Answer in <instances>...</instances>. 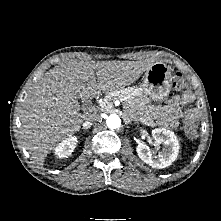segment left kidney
Returning <instances> with one entry per match:
<instances>
[{
	"label": "left kidney",
	"mask_w": 221,
	"mask_h": 221,
	"mask_svg": "<svg viewBox=\"0 0 221 221\" xmlns=\"http://www.w3.org/2000/svg\"><path fill=\"white\" fill-rule=\"evenodd\" d=\"M152 137L158 144H164L165 148L158 155H155L145 143L136 147L139 158L153 168H165L170 166L177 158L179 152V141L174 132L156 128L152 130Z\"/></svg>",
	"instance_id": "5707ae66"
}]
</instances>
